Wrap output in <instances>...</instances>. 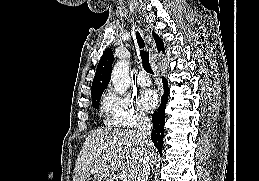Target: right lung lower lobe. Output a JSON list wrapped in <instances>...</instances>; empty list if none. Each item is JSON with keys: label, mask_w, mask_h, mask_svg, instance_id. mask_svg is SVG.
I'll use <instances>...</instances> for the list:
<instances>
[{"label": "right lung lower lobe", "mask_w": 259, "mask_h": 181, "mask_svg": "<svg viewBox=\"0 0 259 181\" xmlns=\"http://www.w3.org/2000/svg\"><path fill=\"white\" fill-rule=\"evenodd\" d=\"M162 82L164 86V94L161 98V106L153 114V117H152L153 130L151 133V140L153 141L156 148L160 151L161 155H162L161 150H162L163 137H164V121H165L164 110L168 100V82L164 76L162 77Z\"/></svg>", "instance_id": "right-lung-lower-lobe-1"}]
</instances>
